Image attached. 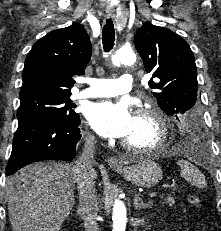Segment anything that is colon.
<instances>
[{
    "mask_svg": "<svg viewBox=\"0 0 221 231\" xmlns=\"http://www.w3.org/2000/svg\"><path fill=\"white\" fill-rule=\"evenodd\" d=\"M188 201L194 207H200L202 205V200L197 195H191V196H189Z\"/></svg>",
    "mask_w": 221,
    "mask_h": 231,
    "instance_id": "obj_1",
    "label": "colon"
}]
</instances>
